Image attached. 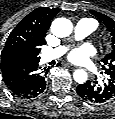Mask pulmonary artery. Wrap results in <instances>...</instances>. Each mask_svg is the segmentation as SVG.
I'll use <instances>...</instances> for the list:
<instances>
[{"mask_svg":"<svg viewBox=\"0 0 115 119\" xmlns=\"http://www.w3.org/2000/svg\"><path fill=\"white\" fill-rule=\"evenodd\" d=\"M84 34H85L84 28H83V27H80V28L76 31V38L83 37ZM61 51H63V47L58 50V53L61 52Z\"/></svg>","mask_w":115,"mask_h":119,"instance_id":"obj_1","label":"pulmonary artery"}]
</instances>
